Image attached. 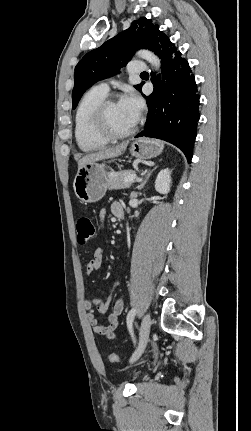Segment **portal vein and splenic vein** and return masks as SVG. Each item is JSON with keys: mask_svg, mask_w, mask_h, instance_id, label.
<instances>
[{"mask_svg": "<svg viewBox=\"0 0 251 431\" xmlns=\"http://www.w3.org/2000/svg\"><path fill=\"white\" fill-rule=\"evenodd\" d=\"M135 179H138L137 178V176H136V174H131L130 176H128V177H126L125 179H124V182L126 183V182H133Z\"/></svg>", "mask_w": 251, "mask_h": 431, "instance_id": "portal-vein-and-splenic-vein-1", "label": "portal vein and splenic vein"}]
</instances>
